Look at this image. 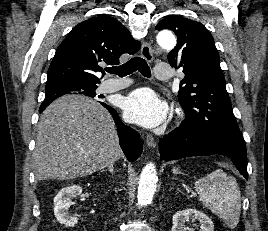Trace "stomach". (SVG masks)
Returning <instances> with one entry per match:
<instances>
[{
	"mask_svg": "<svg viewBox=\"0 0 268 231\" xmlns=\"http://www.w3.org/2000/svg\"><path fill=\"white\" fill-rule=\"evenodd\" d=\"M173 171H174V172H178V170H177V169H174Z\"/></svg>",
	"mask_w": 268,
	"mask_h": 231,
	"instance_id": "obj_1",
	"label": "stomach"
}]
</instances>
